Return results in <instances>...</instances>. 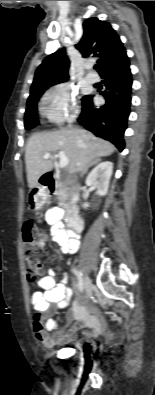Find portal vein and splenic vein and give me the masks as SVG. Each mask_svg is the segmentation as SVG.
I'll return each instance as SVG.
<instances>
[{"instance_id": "portal-vein-and-splenic-vein-1", "label": "portal vein and splenic vein", "mask_w": 155, "mask_h": 395, "mask_svg": "<svg viewBox=\"0 0 155 395\" xmlns=\"http://www.w3.org/2000/svg\"><path fill=\"white\" fill-rule=\"evenodd\" d=\"M57 156L60 159L59 160V168H65L69 163L68 157L62 151H59ZM50 157H51L50 153H45L43 156L44 159H49Z\"/></svg>"}]
</instances>
